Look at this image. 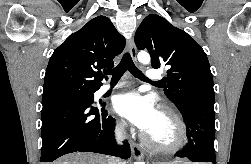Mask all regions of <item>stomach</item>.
<instances>
[{"label": "stomach", "instance_id": "stomach-1", "mask_svg": "<svg viewBox=\"0 0 251 164\" xmlns=\"http://www.w3.org/2000/svg\"><path fill=\"white\" fill-rule=\"evenodd\" d=\"M153 164H186V162H179V163H177L176 161H174V162H170V163H166V162H156V163H153Z\"/></svg>", "mask_w": 251, "mask_h": 164}]
</instances>
